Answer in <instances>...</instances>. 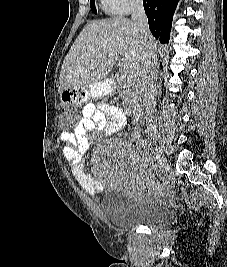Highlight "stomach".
<instances>
[{
    "mask_svg": "<svg viewBox=\"0 0 227 267\" xmlns=\"http://www.w3.org/2000/svg\"><path fill=\"white\" fill-rule=\"evenodd\" d=\"M113 90L112 85H85V87H63L59 91L58 101L60 104H72L73 106H83L87 99H91V94L106 95Z\"/></svg>",
    "mask_w": 227,
    "mask_h": 267,
    "instance_id": "1",
    "label": "stomach"
}]
</instances>
